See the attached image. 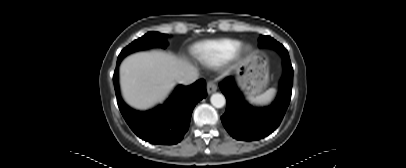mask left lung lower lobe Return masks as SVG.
Returning a JSON list of instances; mask_svg holds the SVG:
<instances>
[{
    "instance_id": "1",
    "label": "left lung lower lobe",
    "mask_w": 406,
    "mask_h": 168,
    "mask_svg": "<svg viewBox=\"0 0 406 168\" xmlns=\"http://www.w3.org/2000/svg\"><path fill=\"white\" fill-rule=\"evenodd\" d=\"M283 57L284 73L279 83L275 101L268 107L249 105L236 86L234 77H227L219 84L227 99V107L221 121L227 132L237 140H259L271 134L281 123L288 108L293 85V69L288 52Z\"/></svg>"
}]
</instances>
